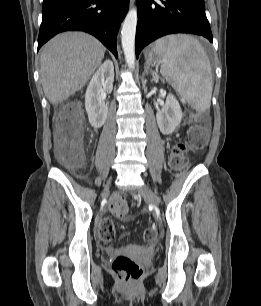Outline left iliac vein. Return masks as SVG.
Wrapping results in <instances>:
<instances>
[{
    "mask_svg": "<svg viewBox=\"0 0 261 306\" xmlns=\"http://www.w3.org/2000/svg\"><path fill=\"white\" fill-rule=\"evenodd\" d=\"M138 192L146 201L150 202L151 204L155 206H158L160 204L159 197L152 191V189L147 184L141 186L138 189Z\"/></svg>",
    "mask_w": 261,
    "mask_h": 306,
    "instance_id": "1",
    "label": "left iliac vein"
}]
</instances>
